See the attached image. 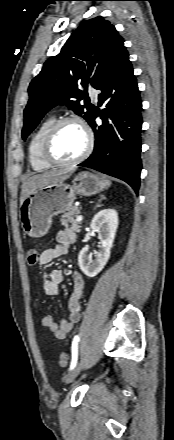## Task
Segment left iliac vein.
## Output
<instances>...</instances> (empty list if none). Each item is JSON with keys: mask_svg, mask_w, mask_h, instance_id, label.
Masks as SVG:
<instances>
[{"mask_svg": "<svg viewBox=\"0 0 174 440\" xmlns=\"http://www.w3.org/2000/svg\"><path fill=\"white\" fill-rule=\"evenodd\" d=\"M84 364V359L81 358L80 361L76 364V366L65 376L64 381L65 383L72 382L80 373L82 367Z\"/></svg>", "mask_w": 174, "mask_h": 440, "instance_id": "1", "label": "left iliac vein"}]
</instances>
